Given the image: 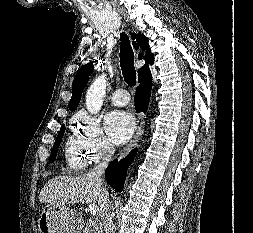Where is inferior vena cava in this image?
Wrapping results in <instances>:
<instances>
[{
    "mask_svg": "<svg viewBox=\"0 0 253 233\" xmlns=\"http://www.w3.org/2000/svg\"><path fill=\"white\" fill-rule=\"evenodd\" d=\"M115 152L113 145L108 144L105 146L104 157L100 163H98L93 170L90 172L91 175L96 178L98 182L102 185V191L99 198L101 220L104 226L105 233H114V224H113V214L111 212V206L109 201V194L106 189L104 179L102 178L108 162L111 160L112 155Z\"/></svg>",
    "mask_w": 253,
    "mask_h": 233,
    "instance_id": "1",
    "label": "inferior vena cava"
}]
</instances>
